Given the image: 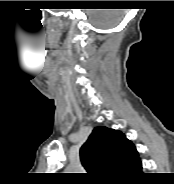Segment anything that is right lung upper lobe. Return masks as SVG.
<instances>
[{"label": "right lung upper lobe", "mask_w": 174, "mask_h": 184, "mask_svg": "<svg viewBox=\"0 0 174 184\" xmlns=\"http://www.w3.org/2000/svg\"><path fill=\"white\" fill-rule=\"evenodd\" d=\"M137 158L134 144L122 132L107 127L94 128L80 149V159L88 175L95 177L103 172L114 181Z\"/></svg>", "instance_id": "cb5924a9"}]
</instances>
